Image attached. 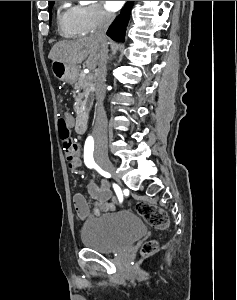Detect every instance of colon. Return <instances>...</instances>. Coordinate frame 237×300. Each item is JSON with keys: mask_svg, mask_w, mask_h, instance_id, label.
Returning a JSON list of instances; mask_svg holds the SVG:
<instances>
[{"mask_svg": "<svg viewBox=\"0 0 237 300\" xmlns=\"http://www.w3.org/2000/svg\"><path fill=\"white\" fill-rule=\"evenodd\" d=\"M58 131L65 151H69L77 145V141L73 138L70 128L64 118H60L58 121ZM135 210L155 229L163 230L168 226L169 220L166 212L156 205L139 201L135 205ZM156 248V241L149 240L142 245L141 252L144 255H149L152 254Z\"/></svg>", "mask_w": 237, "mask_h": 300, "instance_id": "1", "label": "colon"}]
</instances>
